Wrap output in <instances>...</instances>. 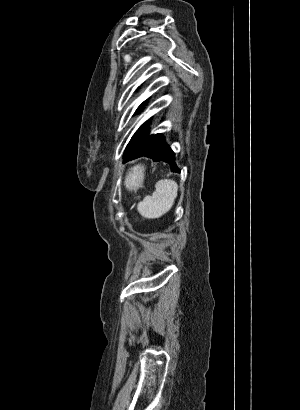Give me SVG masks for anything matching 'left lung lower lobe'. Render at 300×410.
<instances>
[{"mask_svg":"<svg viewBox=\"0 0 300 410\" xmlns=\"http://www.w3.org/2000/svg\"><path fill=\"white\" fill-rule=\"evenodd\" d=\"M146 156L154 161L167 162L172 171H180L175 163V154L166 144L161 134L152 135L150 139L134 154L124 159V161Z\"/></svg>","mask_w":300,"mask_h":410,"instance_id":"1","label":"left lung lower lobe"}]
</instances>
